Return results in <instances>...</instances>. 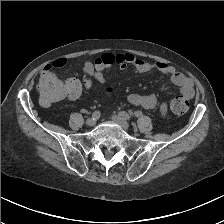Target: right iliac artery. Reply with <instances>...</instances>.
<instances>
[{
	"mask_svg": "<svg viewBox=\"0 0 224 224\" xmlns=\"http://www.w3.org/2000/svg\"><path fill=\"white\" fill-rule=\"evenodd\" d=\"M92 118L94 120H97L100 118V112L99 111H94L93 114H92Z\"/></svg>",
	"mask_w": 224,
	"mask_h": 224,
	"instance_id": "right-iliac-artery-1",
	"label": "right iliac artery"
}]
</instances>
